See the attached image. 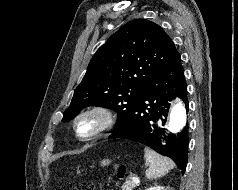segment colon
I'll return each mask as SVG.
<instances>
[{"label":"colon","mask_w":238,"mask_h":190,"mask_svg":"<svg viewBox=\"0 0 238 190\" xmlns=\"http://www.w3.org/2000/svg\"><path fill=\"white\" fill-rule=\"evenodd\" d=\"M116 172H117L118 176L122 177L126 173V168L123 165L117 166Z\"/></svg>","instance_id":"colon-1"}]
</instances>
